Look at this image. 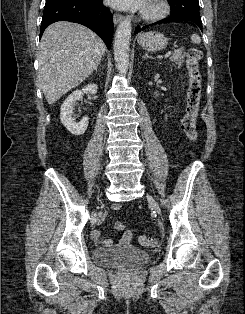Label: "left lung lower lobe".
I'll return each instance as SVG.
<instances>
[{"label": "left lung lower lobe", "instance_id": "0a47b994", "mask_svg": "<svg viewBox=\"0 0 245 314\" xmlns=\"http://www.w3.org/2000/svg\"><path fill=\"white\" fill-rule=\"evenodd\" d=\"M181 21H192V22H194L195 24H197V25L199 26V28L202 30V22H201V19H196V18H192V17H188V16H172V15H171L170 17H168V18H166V19H163V20H160V21H158V22H156V23H162V22H164V23H171V22H181ZM147 27H149V25L144 26V27H142V28L137 27V28L135 29V33H138V32H140L141 30L146 29Z\"/></svg>", "mask_w": 245, "mask_h": 314}]
</instances>
